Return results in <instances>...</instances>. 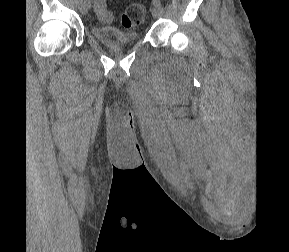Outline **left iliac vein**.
I'll return each instance as SVG.
<instances>
[{"instance_id": "left-iliac-vein-1", "label": "left iliac vein", "mask_w": 289, "mask_h": 252, "mask_svg": "<svg viewBox=\"0 0 289 252\" xmlns=\"http://www.w3.org/2000/svg\"><path fill=\"white\" fill-rule=\"evenodd\" d=\"M151 13L155 19L161 17V15L163 13L162 7L154 5L151 9Z\"/></svg>"}]
</instances>
